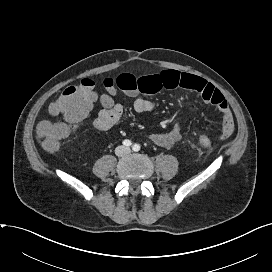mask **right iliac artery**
I'll return each instance as SVG.
<instances>
[{"mask_svg": "<svg viewBox=\"0 0 272 272\" xmlns=\"http://www.w3.org/2000/svg\"><path fill=\"white\" fill-rule=\"evenodd\" d=\"M123 145L126 146V147H130L132 145V142L130 140H124L123 141Z\"/></svg>", "mask_w": 272, "mask_h": 272, "instance_id": "right-iliac-artery-1", "label": "right iliac artery"}]
</instances>
